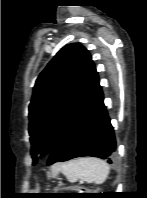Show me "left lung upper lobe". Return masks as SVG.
Here are the masks:
<instances>
[{
    "mask_svg": "<svg viewBox=\"0 0 147 198\" xmlns=\"http://www.w3.org/2000/svg\"><path fill=\"white\" fill-rule=\"evenodd\" d=\"M97 79L91 55L79 43L63 47L40 73L29 105L33 165L49 156Z\"/></svg>",
    "mask_w": 147,
    "mask_h": 198,
    "instance_id": "1",
    "label": "left lung upper lobe"
}]
</instances>
